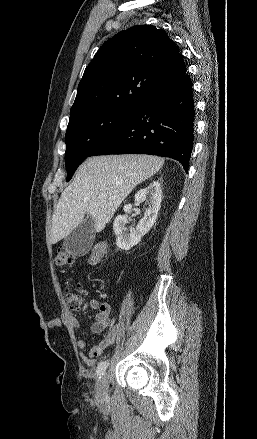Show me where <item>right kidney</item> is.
<instances>
[{"mask_svg":"<svg viewBox=\"0 0 257 439\" xmlns=\"http://www.w3.org/2000/svg\"><path fill=\"white\" fill-rule=\"evenodd\" d=\"M161 185L158 181H153L147 187L140 189L135 194L136 204L146 200L149 207L144 213V217L140 220L135 229H130V233L127 232L126 223L128 216H117L113 223V230L117 237L116 245L122 250H130L133 246L137 245L142 237L151 229L154 225L158 211L161 206L162 197ZM132 209L131 204L124 206V211L130 213Z\"/></svg>","mask_w":257,"mask_h":439,"instance_id":"right-kidney-1","label":"right kidney"}]
</instances>
